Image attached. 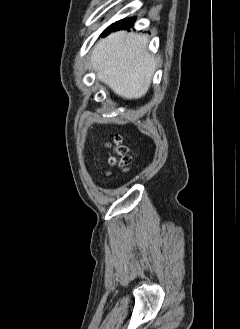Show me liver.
<instances>
[{"label": "liver", "instance_id": "1", "mask_svg": "<svg viewBox=\"0 0 240 329\" xmlns=\"http://www.w3.org/2000/svg\"><path fill=\"white\" fill-rule=\"evenodd\" d=\"M144 35L119 31L101 39L91 55L90 69L112 91L125 99L144 96L155 72V58L147 52Z\"/></svg>", "mask_w": 240, "mask_h": 329}]
</instances>
